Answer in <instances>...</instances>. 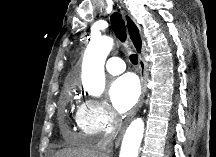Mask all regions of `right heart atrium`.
<instances>
[{
	"instance_id": "d8ad5b80",
	"label": "right heart atrium",
	"mask_w": 216,
	"mask_h": 157,
	"mask_svg": "<svg viewBox=\"0 0 216 157\" xmlns=\"http://www.w3.org/2000/svg\"><path fill=\"white\" fill-rule=\"evenodd\" d=\"M75 121L81 133L102 136L114 131L119 118L106 102L88 99L78 108Z\"/></svg>"
}]
</instances>
